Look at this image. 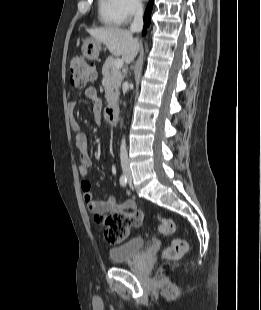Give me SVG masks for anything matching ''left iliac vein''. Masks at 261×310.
I'll list each match as a JSON object with an SVG mask.
<instances>
[{
	"mask_svg": "<svg viewBox=\"0 0 261 310\" xmlns=\"http://www.w3.org/2000/svg\"><path fill=\"white\" fill-rule=\"evenodd\" d=\"M127 178H128V182L131 183L132 182V177H131L130 172H128Z\"/></svg>",
	"mask_w": 261,
	"mask_h": 310,
	"instance_id": "4c4485c4",
	"label": "left iliac vein"
}]
</instances>
